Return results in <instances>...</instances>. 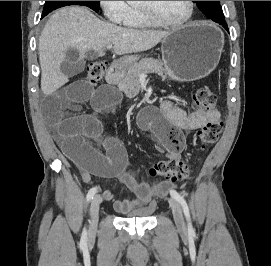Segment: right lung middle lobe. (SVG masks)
<instances>
[{"mask_svg": "<svg viewBox=\"0 0 271 266\" xmlns=\"http://www.w3.org/2000/svg\"><path fill=\"white\" fill-rule=\"evenodd\" d=\"M68 5H82L87 6L93 9L95 12H98L100 7L99 1H46L42 13V17L49 14L51 11Z\"/></svg>", "mask_w": 271, "mask_h": 266, "instance_id": "1", "label": "right lung middle lobe"}]
</instances>
